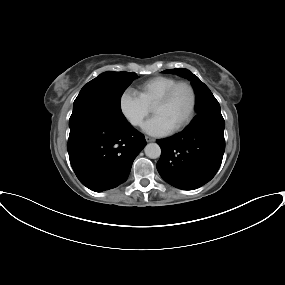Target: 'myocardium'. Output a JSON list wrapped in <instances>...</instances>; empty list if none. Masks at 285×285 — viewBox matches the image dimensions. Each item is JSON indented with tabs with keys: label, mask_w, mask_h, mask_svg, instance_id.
<instances>
[{
	"label": "myocardium",
	"mask_w": 285,
	"mask_h": 285,
	"mask_svg": "<svg viewBox=\"0 0 285 285\" xmlns=\"http://www.w3.org/2000/svg\"><path fill=\"white\" fill-rule=\"evenodd\" d=\"M180 87H186L190 93H191V107L190 111L187 115V117L175 128L172 129L171 132L177 133L185 129L194 119L196 110H197V105H198V95L196 92L195 87L188 81H178L174 85H172L160 98L159 100L154 104L153 110L156 107L166 105L169 103V101L172 99L173 95L175 92L180 88Z\"/></svg>",
	"instance_id": "myocardium-1"
}]
</instances>
